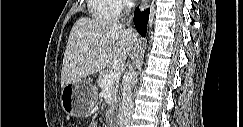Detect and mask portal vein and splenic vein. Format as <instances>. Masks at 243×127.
<instances>
[{
    "mask_svg": "<svg viewBox=\"0 0 243 127\" xmlns=\"http://www.w3.org/2000/svg\"><path fill=\"white\" fill-rule=\"evenodd\" d=\"M120 76L119 68H115L114 70L107 73L103 78V85L108 87L110 84L114 82Z\"/></svg>",
    "mask_w": 243,
    "mask_h": 127,
    "instance_id": "1",
    "label": "portal vein and splenic vein"
}]
</instances>
